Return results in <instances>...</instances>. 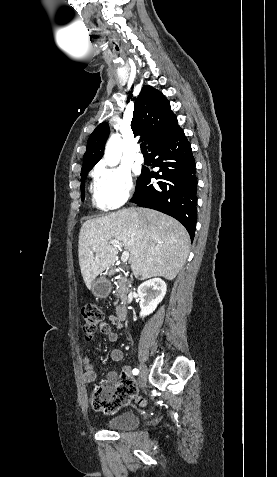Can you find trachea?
I'll return each mask as SVG.
<instances>
[{"label":"trachea","mask_w":277,"mask_h":477,"mask_svg":"<svg viewBox=\"0 0 277 477\" xmlns=\"http://www.w3.org/2000/svg\"><path fill=\"white\" fill-rule=\"evenodd\" d=\"M140 147H141L142 153H147V147L145 142H142Z\"/></svg>","instance_id":"1"}]
</instances>
